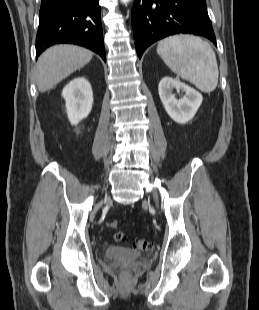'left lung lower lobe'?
Returning <instances> with one entry per match:
<instances>
[{
  "label": "left lung lower lobe",
  "instance_id": "0a47b994",
  "mask_svg": "<svg viewBox=\"0 0 259 310\" xmlns=\"http://www.w3.org/2000/svg\"><path fill=\"white\" fill-rule=\"evenodd\" d=\"M131 16L139 58L152 43L173 34L204 36L216 45L205 0H135Z\"/></svg>",
  "mask_w": 259,
  "mask_h": 310
}]
</instances>
